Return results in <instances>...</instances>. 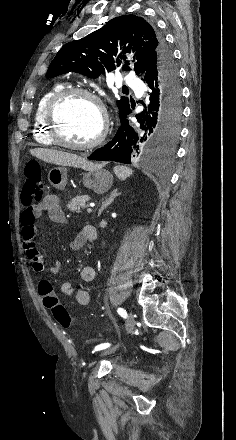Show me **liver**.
<instances>
[{
	"instance_id": "1",
	"label": "liver",
	"mask_w": 236,
	"mask_h": 440,
	"mask_svg": "<svg viewBox=\"0 0 236 440\" xmlns=\"http://www.w3.org/2000/svg\"><path fill=\"white\" fill-rule=\"evenodd\" d=\"M31 155L45 161L60 166H71L89 170L99 165H95L85 158L76 154H71L63 151H57L46 148H36L30 150Z\"/></svg>"
}]
</instances>
